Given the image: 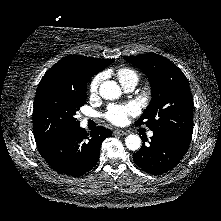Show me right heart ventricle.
Segmentation results:
<instances>
[{
	"mask_svg": "<svg viewBox=\"0 0 221 221\" xmlns=\"http://www.w3.org/2000/svg\"><path fill=\"white\" fill-rule=\"evenodd\" d=\"M116 75L121 84H125L131 81L137 83L139 79L138 73L135 70L128 67L119 68L116 72Z\"/></svg>",
	"mask_w": 221,
	"mask_h": 221,
	"instance_id": "1",
	"label": "right heart ventricle"
}]
</instances>
